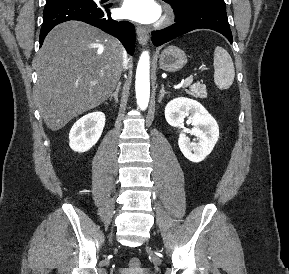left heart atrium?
Returning <instances> with one entry per match:
<instances>
[{"instance_id":"obj_1","label":"left heart atrium","mask_w":289,"mask_h":274,"mask_svg":"<svg viewBox=\"0 0 289 274\" xmlns=\"http://www.w3.org/2000/svg\"><path fill=\"white\" fill-rule=\"evenodd\" d=\"M121 14L141 23H151L160 15V8L155 0H124Z\"/></svg>"}]
</instances>
